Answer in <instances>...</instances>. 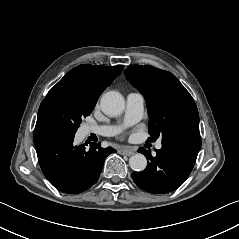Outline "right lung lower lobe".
Returning a JSON list of instances; mask_svg holds the SVG:
<instances>
[{
	"label": "right lung lower lobe",
	"mask_w": 239,
	"mask_h": 239,
	"mask_svg": "<svg viewBox=\"0 0 239 239\" xmlns=\"http://www.w3.org/2000/svg\"><path fill=\"white\" fill-rule=\"evenodd\" d=\"M75 132L60 125L36 126L34 145L41 170L48 181L59 191L78 194L98 180L105 158L116 151L111 147L101 149L94 143L73 144Z\"/></svg>",
	"instance_id": "98d812e1"
}]
</instances>
